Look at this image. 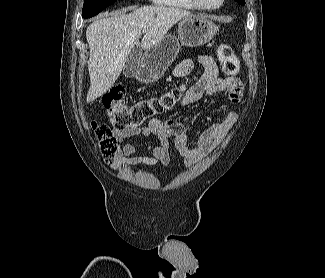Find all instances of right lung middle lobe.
I'll list each match as a JSON object with an SVG mask.
<instances>
[{
  "instance_id": "right-lung-middle-lobe-1",
  "label": "right lung middle lobe",
  "mask_w": 325,
  "mask_h": 278,
  "mask_svg": "<svg viewBox=\"0 0 325 278\" xmlns=\"http://www.w3.org/2000/svg\"><path fill=\"white\" fill-rule=\"evenodd\" d=\"M116 0H85L82 10V16L84 18H90L95 16L110 4Z\"/></svg>"
}]
</instances>
